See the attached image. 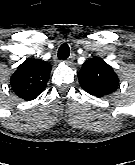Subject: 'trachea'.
<instances>
[{"instance_id":"1","label":"trachea","mask_w":135,"mask_h":165,"mask_svg":"<svg viewBox=\"0 0 135 165\" xmlns=\"http://www.w3.org/2000/svg\"><path fill=\"white\" fill-rule=\"evenodd\" d=\"M70 55V48L67 43H63L58 51V58L65 60L69 57Z\"/></svg>"}]
</instances>
